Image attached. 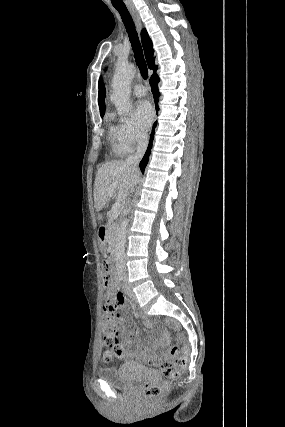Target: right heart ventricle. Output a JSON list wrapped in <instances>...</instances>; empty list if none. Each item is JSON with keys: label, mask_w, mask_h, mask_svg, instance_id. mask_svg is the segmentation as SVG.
<instances>
[{"label": "right heart ventricle", "mask_w": 285, "mask_h": 427, "mask_svg": "<svg viewBox=\"0 0 285 427\" xmlns=\"http://www.w3.org/2000/svg\"><path fill=\"white\" fill-rule=\"evenodd\" d=\"M109 132H110V140L112 142L113 148L115 150V152L119 155L125 154L122 149L120 148L116 136H115V127L114 126H110L109 127Z\"/></svg>", "instance_id": "1"}]
</instances>
